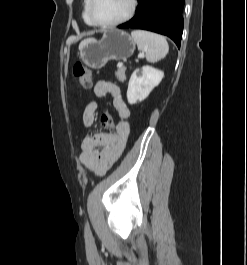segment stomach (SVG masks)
<instances>
[{"mask_svg":"<svg viewBox=\"0 0 247 265\" xmlns=\"http://www.w3.org/2000/svg\"><path fill=\"white\" fill-rule=\"evenodd\" d=\"M135 41L125 31L109 30L100 40L86 39L79 46L81 60L90 68L101 69L108 61H121L131 57Z\"/></svg>","mask_w":247,"mask_h":265,"instance_id":"0dacf381","label":"stomach"}]
</instances>
